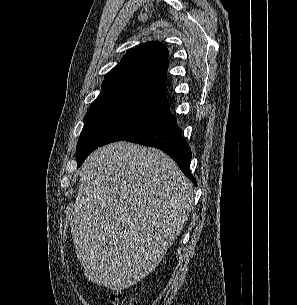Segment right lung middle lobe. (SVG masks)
I'll return each mask as SVG.
<instances>
[{"label": "right lung middle lobe", "instance_id": "1", "mask_svg": "<svg viewBox=\"0 0 297 305\" xmlns=\"http://www.w3.org/2000/svg\"><path fill=\"white\" fill-rule=\"evenodd\" d=\"M168 113L166 103L146 98H118L91 106L77 143L78 166L96 148L125 140Z\"/></svg>", "mask_w": 297, "mask_h": 305}]
</instances>
